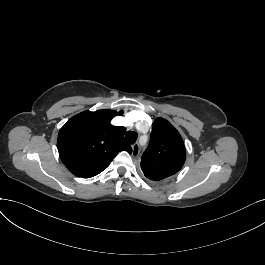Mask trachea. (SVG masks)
<instances>
[{
	"label": "trachea",
	"mask_w": 265,
	"mask_h": 265,
	"mask_svg": "<svg viewBox=\"0 0 265 265\" xmlns=\"http://www.w3.org/2000/svg\"><path fill=\"white\" fill-rule=\"evenodd\" d=\"M138 134L134 131H128L126 132V140L129 144L135 143L137 140Z\"/></svg>",
	"instance_id": "trachea-1"
}]
</instances>
